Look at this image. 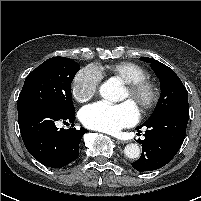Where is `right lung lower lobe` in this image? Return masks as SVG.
<instances>
[{
    "label": "right lung lower lobe",
    "instance_id": "1",
    "mask_svg": "<svg viewBox=\"0 0 201 201\" xmlns=\"http://www.w3.org/2000/svg\"><path fill=\"white\" fill-rule=\"evenodd\" d=\"M75 111L64 114L54 108L35 105L18 112L21 136L29 153L40 163L51 168H61L79 155L84 128L60 130L57 121L73 123Z\"/></svg>",
    "mask_w": 201,
    "mask_h": 201
}]
</instances>
